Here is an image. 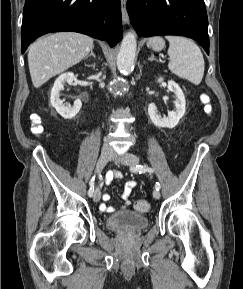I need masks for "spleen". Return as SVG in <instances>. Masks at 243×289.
<instances>
[{
  "label": "spleen",
  "instance_id": "spleen-1",
  "mask_svg": "<svg viewBox=\"0 0 243 289\" xmlns=\"http://www.w3.org/2000/svg\"><path fill=\"white\" fill-rule=\"evenodd\" d=\"M169 41V70L180 78L199 85L204 75V59L199 47L182 36H166Z\"/></svg>",
  "mask_w": 243,
  "mask_h": 289
}]
</instances>
